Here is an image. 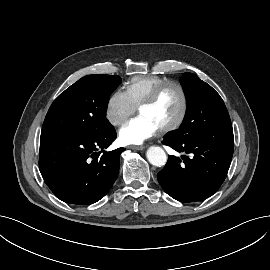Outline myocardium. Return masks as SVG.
I'll list each match as a JSON object with an SVG mask.
<instances>
[{
    "label": "myocardium",
    "mask_w": 270,
    "mask_h": 270,
    "mask_svg": "<svg viewBox=\"0 0 270 270\" xmlns=\"http://www.w3.org/2000/svg\"><path fill=\"white\" fill-rule=\"evenodd\" d=\"M168 86H175L179 90V93L181 96V111L178 118L172 124H169L159 129L161 133H169V132L175 131L179 129L185 122V119L188 113L189 102H188L187 92L184 86L180 82L175 81V80H167L165 82H162L151 91V93L139 105V108H138L140 111L143 107H148V106L153 105L156 102V100L159 98L163 90L167 88Z\"/></svg>",
    "instance_id": "myocardium-1"
}]
</instances>
